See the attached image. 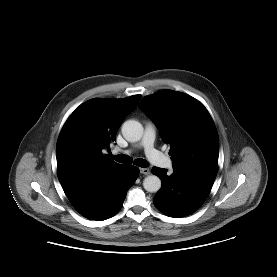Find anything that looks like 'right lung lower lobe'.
Here are the masks:
<instances>
[{
  "instance_id": "obj_1",
  "label": "right lung lower lobe",
  "mask_w": 277,
  "mask_h": 277,
  "mask_svg": "<svg viewBox=\"0 0 277 277\" xmlns=\"http://www.w3.org/2000/svg\"><path fill=\"white\" fill-rule=\"evenodd\" d=\"M139 175V168L118 165L90 184L66 194L75 209L88 219L102 221L116 214L127 190Z\"/></svg>"
}]
</instances>
